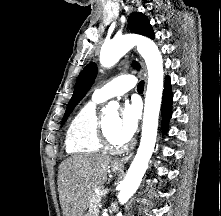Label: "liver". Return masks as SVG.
<instances>
[{
  "instance_id": "1",
  "label": "liver",
  "mask_w": 221,
  "mask_h": 216,
  "mask_svg": "<svg viewBox=\"0 0 221 216\" xmlns=\"http://www.w3.org/2000/svg\"><path fill=\"white\" fill-rule=\"evenodd\" d=\"M111 158L74 155L59 167L58 192L63 216H85L93 190L107 179Z\"/></svg>"
}]
</instances>
